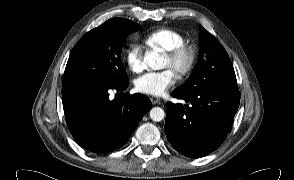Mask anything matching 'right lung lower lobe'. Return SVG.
<instances>
[{"instance_id": "98d812e1", "label": "right lung lower lobe", "mask_w": 294, "mask_h": 180, "mask_svg": "<svg viewBox=\"0 0 294 180\" xmlns=\"http://www.w3.org/2000/svg\"><path fill=\"white\" fill-rule=\"evenodd\" d=\"M128 83L110 87L80 83L62 87L66 123L75 140L94 153H108L127 143L143 115L151 108L141 94L109 99L110 89L125 90Z\"/></svg>"}]
</instances>
